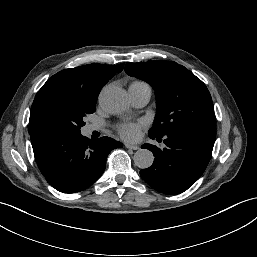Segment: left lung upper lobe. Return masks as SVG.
Masks as SVG:
<instances>
[{
    "instance_id": "5c2ea615",
    "label": "left lung upper lobe",
    "mask_w": 257,
    "mask_h": 257,
    "mask_svg": "<svg viewBox=\"0 0 257 257\" xmlns=\"http://www.w3.org/2000/svg\"><path fill=\"white\" fill-rule=\"evenodd\" d=\"M125 72L155 90L158 113L149 135L161 137L186 127L215 126L206 85L184 66L173 61L126 63Z\"/></svg>"
}]
</instances>
